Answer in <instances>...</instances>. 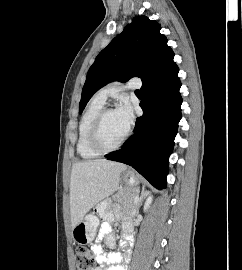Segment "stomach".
I'll return each mask as SVG.
<instances>
[{"label": "stomach", "mask_w": 242, "mask_h": 270, "mask_svg": "<svg viewBox=\"0 0 242 270\" xmlns=\"http://www.w3.org/2000/svg\"><path fill=\"white\" fill-rule=\"evenodd\" d=\"M122 181L132 191H137L140 183L139 178L131 171H126L122 175ZM99 219L95 215L83 217L72 229V239L78 244H88L93 241Z\"/></svg>", "instance_id": "obj_1"}]
</instances>
